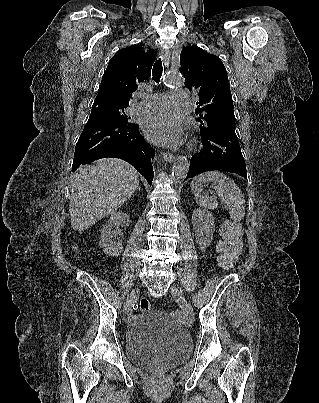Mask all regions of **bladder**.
<instances>
[{"label":"bladder","instance_id":"1","mask_svg":"<svg viewBox=\"0 0 319 403\" xmlns=\"http://www.w3.org/2000/svg\"><path fill=\"white\" fill-rule=\"evenodd\" d=\"M126 356L150 370L168 369L191 352L187 332L169 314L148 311L135 317L125 333Z\"/></svg>","mask_w":319,"mask_h":403}]
</instances>
